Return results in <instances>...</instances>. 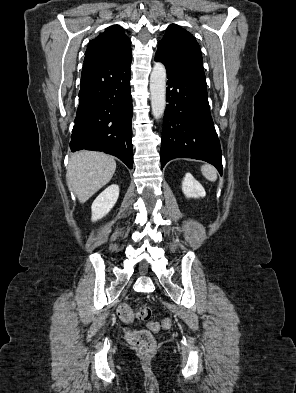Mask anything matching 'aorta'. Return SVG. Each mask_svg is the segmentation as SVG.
Listing matches in <instances>:
<instances>
[{
	"label": "aorta",
	"instance_id": "obj_1",
	"mask_svg": "<svg viewBox=\"0 0 296 393\" xmlns=\"http://www.w3.org/2000/svg\"><path fill=\"white\" fill-rule=\"evenodd\" d=\"M150 94L152 114L160 119L166 107V69L160 62L154 64L150 75Z\"/></svg>",
	"mask_w": 296,
	"mask_h": 393
}]
</instances>
